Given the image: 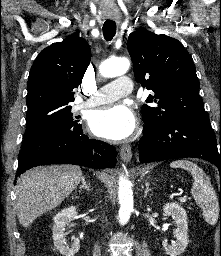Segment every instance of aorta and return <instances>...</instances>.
Returning a JSON list of instances; mask_svg holds the SVG:
<instances>
[{
  "instance_id": "762f6f07",
  "label": "aorta",
  "mask_w": 221,
  "mask_h": 256,
  "mask_svg": "<svg viewBox=\"0 0 221 256\" xmlns=\"http://www.w3.org/2000/svg\"><path fill=\"white\" fill-rule=\"evenodd\" d=\"M130 67V62L127 58L107 59L100 65V73L104 77L112 78L125 74ZM119 219L122 225L126 224L133 211V191L130 181L121 176L119 178Z\"/></svg>"
}]
</instances>
